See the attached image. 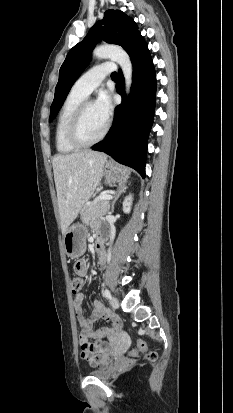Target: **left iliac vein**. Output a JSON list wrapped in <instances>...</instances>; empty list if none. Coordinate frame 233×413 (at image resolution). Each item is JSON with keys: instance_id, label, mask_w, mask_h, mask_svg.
I'll list each match as a JSON object with an SVG mask.
<instances>
[{"instance_id": "left-iliac-vein-1", "label": "left iliac vein", "mask_w": 233, "mask_h": 413, "mask_svg": "<svg viewBox=\"0 0 233 413\" xmlns=\"http://www.w3.org/2000/svg\"><path fill=\"white\" fill-rule=\"evenodd\" d=\"M110 304L115 309L119 307V301L114 296L110 297Z\"/></svg>"}]
</instances>
